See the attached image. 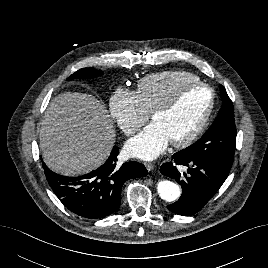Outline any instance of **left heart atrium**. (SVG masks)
Wrapping results in <instances>:
<instances>
[{"mask_svg":"<svg viewBox=\"0 0 268 268\" xmlns=\"http://www.w3.org/2000/svg\"><path fill=\"white\" fill-rule=\"evenodd\" d=\"M168 143L169 139L162 127L153 122L128 140L125 152L129 157L152 160L165 150Z\"/></svg>","mask_w":268,"mask_h":268,"instance_id":"1","label":"left heart atrium"}]
</instances>
